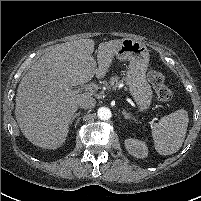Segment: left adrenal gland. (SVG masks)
<instances>
[{
    "instance_id": "left-adrenal-gland-1",
    "label": "left adrenal gland",
    "mask_w": 201,
    "mask_h": 201,
    "mask_svg": "<svg viewBox=\"0 0 201 201\" xmlns=\"http://www.w3.org/2000/svg\"><path fill=\"white\" fill-rule=\"evenodd\" d=\"M122 114L124 115L125 119H132L138 123V120L135 117H133L130 113H127L124 109L122 110Z\"/></svg>"
}]
</instances>
